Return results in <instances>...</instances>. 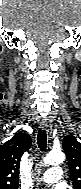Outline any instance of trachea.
I'll use <instances>...</instances> for the list:
<instances>
[{"mask_svg":"<svg viewBox=\"0 0 81 189\" xmlns=\"http://www.w3.org/2000/svg\"><path fill=\"white\" fill-rule=\"evenodd\" d=\"M37 143L40 150L43 152L47 147V134L44 129H40L37 134Z\"/></svg>","mask_w":81,"mask_h":189,"instance_id":"trachea-1","label":"trachea"}]
</instances>
